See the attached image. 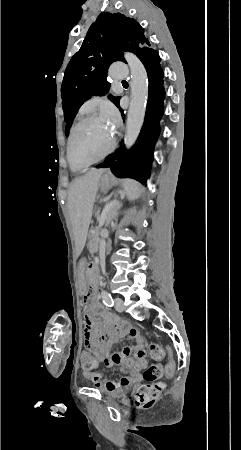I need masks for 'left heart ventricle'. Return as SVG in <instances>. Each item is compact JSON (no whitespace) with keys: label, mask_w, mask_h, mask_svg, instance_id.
Returning <instances> with one entry per match:
<instances>
[{"label":"left heart ventricle","mask_w":241,"mask_h":450,"mask_svg":"<svg viewBox=\"0 0 241 450\" xmlns=\"http://www.w3.org/2000/svg\"><path fill=\"white\" fill-rule=\"evenodd\" d=\"M81 130L76 132V144L73 152L76 165H93L95 160L102 159V153H108L113 130L108 120L99 113L83 114L78 120Z\"/></svg>","instance_id":"left-heart-ventricle-1"}]
</instances>
